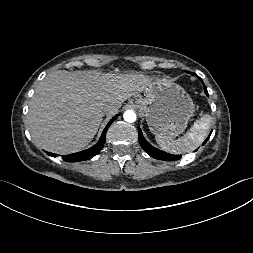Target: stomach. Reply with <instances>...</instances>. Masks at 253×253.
Returning <instances> with one entry per match:
<instances>
[{"label": "stomach", "instance_id": "stomach-1", "mask_svg": "<svg viewBox=\"0 0 253 253\" xmlns=\"http://www.w3.org/2000/svg\"><path fill=\"white\" fill-rule=\"evenodd\" d=\"M145 95L146 98H137L134 106L146 118L153 134L172 139L186 129L195 106L181 86L159 81L150 84Z\"/></svg>", "mask_w": 253, "mask_h": 253}]
</instances>
